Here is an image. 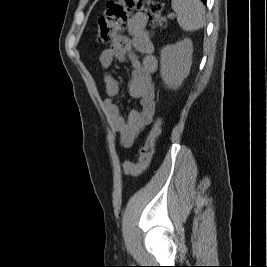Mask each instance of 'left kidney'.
Wrapping results in <instances>:
<instances>
[{"label": "left kidney", "instance_id": "1", "mask_svg": "<svg viewBox=\"0 0 267 267\" xmlns=\"http://www.w3.org/2000/svg\"><path fill=\"white\" fill-rule=\"evenodd\" d=\"M193 44L188 38L166 45L160 52V76L170 89H179L189 75L192 65Z\"/></svg>", "mask_w": 267, "mask_h": 267}]
</instances>
